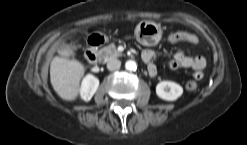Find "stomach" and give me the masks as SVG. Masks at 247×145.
<instances>
[{
	"mask_svg": "<svg viewBox=\"0 0 247 145\" xmlns=\"http://www.w3.org/2000/svg\"><path fill=\"white\" fill-rule=\"evenodd\" d=\"M136 39L145 46H154L162 36L161 25L154 21H141L135 29Z\"/></svg>",
	"mask_w": 247,
	"mask_h": 145,
	"instance_id": "1",
	"label": "stomach"
}]
</instances>
